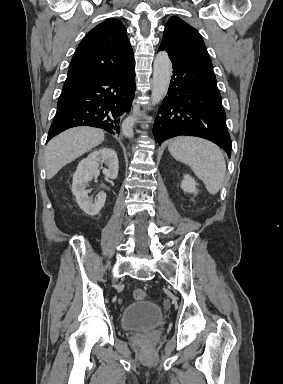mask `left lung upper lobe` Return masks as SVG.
<instances>
[{
	"label": "left lung upper lobe",
	"mask_w": 283,
	"mask_h": 384,
	"mask_svg": "<svg viewBox=\"0 0 283 384\" xmlns=\"http://www.w3.org/2000/svg\"><path fill=\"white\" fill-rule=\"evenodd\" d=\"M161 44L171 54L212 67L199 32L177 17H171L167 22Z\"/></svg>",
	"instance_id": "obj_1"
}]
</instances>
